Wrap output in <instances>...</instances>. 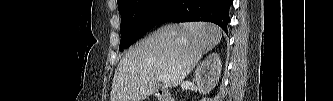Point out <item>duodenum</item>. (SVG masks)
<instances>
[{"mask_svg": "<svg viewBox=\"0 0 333 101\" xmlns=\"http://www.w3.org/2000/svg\"><path fill=\"white\" fill-rule=\"evenodd\" d=\"M156 98L159 101H174V99L170 96L169 92L166 90H159L156 92Z\"/></svg>", "mask_w": 333, "mask_h": 101, "instance_id": "obj_1", "label": "duodenum"}]
</instances>
